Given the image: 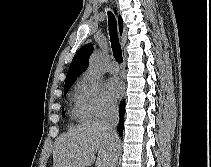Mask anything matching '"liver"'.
<instances>
[{"label": "liver", "mask_w": 211, "mask_h": 167, "mask_svg": "<svg viewBox=\"0 0 211 167\" xmlns=\"http://www.w3.org/2000/svg\"><path fill=\"white\" fill-rule=\"evenodd\" d=\"M119 148V140L112 139L102 121L84 122L56 141L53 167H87L95 161L96 167H115Z\"/></svg>", "instance_id": "liver-1"}]
</instances>
